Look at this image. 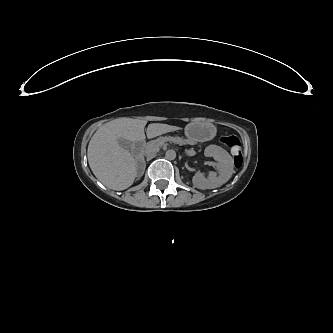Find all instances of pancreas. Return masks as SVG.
<instances>
[{
  "instance_id": "cf45deb5",
  "label": "pancreas",
  "mask_w": 333,
  "mask_h": 333,
  "mask_svg": "<svg viewBox=\"0 0 333 333\" xmlns=\"http://www.w3.org/2000/svg\"><path fill=\"white\" fill-rule=\"evenodd\" d=\"M163 140H157V141H153L151 142L147 147H146V153L148 155H151L153 153L154 148L158 147L159 144L162 142ZM175 143H183V141L180 140H174Z\"/></svg>"
}]
</instances>
